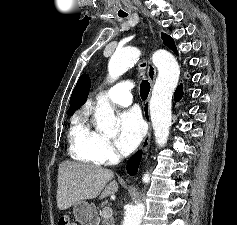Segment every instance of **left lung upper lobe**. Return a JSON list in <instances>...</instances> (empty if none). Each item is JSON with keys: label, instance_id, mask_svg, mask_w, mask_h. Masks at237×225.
Instances as JSON below:
<instances>
[{"label": "left lung upper lobe", "instance_id": "5c2ea615", "mask_svg": "<svg viewBox=\"0 0 237 225\" xmlns=\"http://www.w3.org/2000/svg\"><path fill=\"white\" fill-rule=\"evenodd\" d=\"M162 39H163V42L166 46L170 47L174 52H176V48L174 46L173 39L170 36L164 34Z\"/></svg>", "mask_w": 237, "mask_h": 225}]
</instances>
